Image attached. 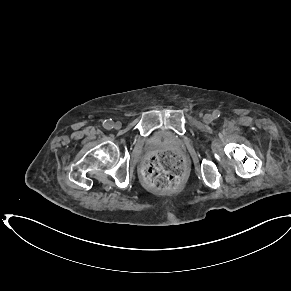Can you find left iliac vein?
<instances>
[{"instance_id":"1","label":"left iliac vein","mask_w":291,"mask_h":291,"mask_svg":"<svg viewBox=\"0 0 291 291\" xmlns=\"http://www.w3.org/2000/svg\"><path fill=\"white\" fill-rule=\"evenodd\" d=\"M203 120L205 123H211L213 121V116L211 114H206Z\"/></svg>"}]
</instances>
